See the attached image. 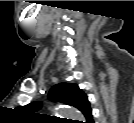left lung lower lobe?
Returning <instances> with one entry per match:
<instances>
[{
    "label": "left lung lower lobe",
    "mask_w": 134,
    "mask_h": 123,
    "mask_svg": "<svg viewBox=\"0 0 134 123\" xmlns=\"http://www.w3.org/2000/svg\"><path fill=\"white\" fill-rule=\"evenodd\" d=\"M89 123H93V120H91Z\"/></svg>",
    "instance_id": "left-lung-lower-lobe-1"
}]
</instances>
